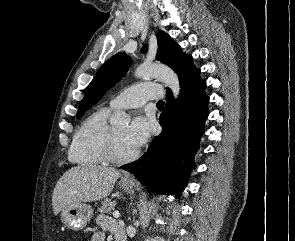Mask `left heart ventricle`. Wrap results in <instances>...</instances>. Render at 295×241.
Masks as SVG:
<instances>
[{
  "mask_svg": "<svg viewBox=\"0 0 295 241\" xmlns=\"http://www.w3.org/2000/svg\"><path fill=\"white\" fill-rule=\"evenodd\" d=\"M126 126H116L113 127L115 140H116V149L120 155H129L132 154L136 149H134L125 138Z\"/></svg>",
  "mask_w": 295,
  "mask_h": 241,
  "instance_id": "left-heart-ventricle-1",
  "label": "left heart ventricle"
}]
</instances>
